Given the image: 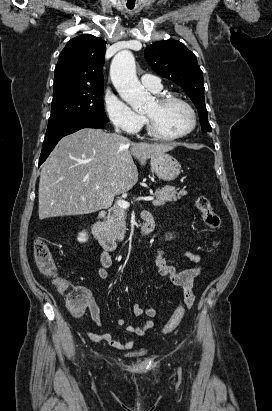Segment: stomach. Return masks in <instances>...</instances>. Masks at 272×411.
I'll return each mask as SVG.
<instances>
[{"mask_svg":"<svg viewBox=\"0 0 272 411\" xmlns=\"http://www.w3.org/2000/svg\"><path fill=\"white\" fill-rule=\"evenodd\" d=\"M151 170L162 180L172 181L181 172L179 162L169 154L162 153L151 157Z\"/></svg>","mask_w":272,"mask_h":411,"instance_id":"stomach-1","label":"stomach"}]
</instances>
